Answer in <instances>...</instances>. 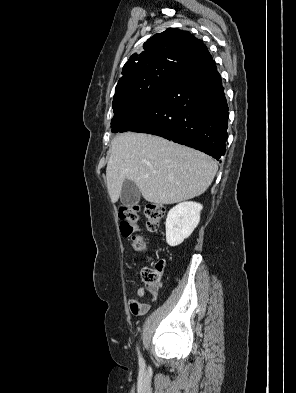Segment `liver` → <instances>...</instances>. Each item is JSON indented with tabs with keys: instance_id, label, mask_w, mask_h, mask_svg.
Masks as SVG:
<instances>
[{
	"instance_id": "6515ba94",
	"label": "liver",
	"mask_w": 296,
	"mask_h": 393,
	"mask_svg": "<svg viewBox=\"0 0 296 393\" xmlns=\"http://www.w3.org/2000/svg\"><path fill=\"white\" fill-rule=\"evenodd\" d=\"M218 166L210 156L159 136L125 132L111 143L106 168L111 202L118 201L124 181H133L143 198L174 204L203 194Z\"/></svg>"
}]
</instances>
